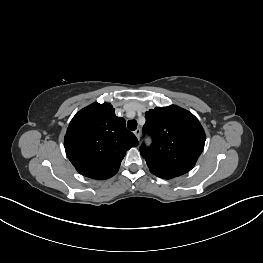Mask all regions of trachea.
<instances>
[{
  "mask_svg": "<svg viewBox=\"0 0 263 263\" xmlns=\"http://www.w3.org/2000/svg\"><path fill=\"white\" fill-rule=\"evenodd\" d=\"M127 128H128L129 130H131V131L136 130V128H137V121H136V120H129V121L127 122Z\"/></svg>",
  "mask_w": 263,
  "mask_h": 263,
  "instance_id": "3493384b",
  "label": "trachea"
}]
</instances>
